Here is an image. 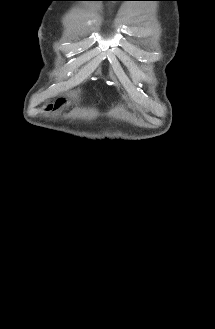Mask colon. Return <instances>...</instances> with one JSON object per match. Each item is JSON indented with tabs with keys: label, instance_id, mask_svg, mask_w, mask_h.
I'll return each mask as SVG.
<instances>
[{
	"label": "colon",
	"instance_id": "obj_1",
	"mask_svg": "<svg viewBox=\"0 0 215 329\" xmlns=\"http://www.w3.org/2000/svg\"><path fill=\"white\" fill-rule=\"evenodd\" d=\"M56 101H57L58 103H61V102L63 101V98H62L61 96H58V97L56 98Z\"/></svg>",
	"mask_w": 215,
	"mask_h": 329
}]
</instances>
